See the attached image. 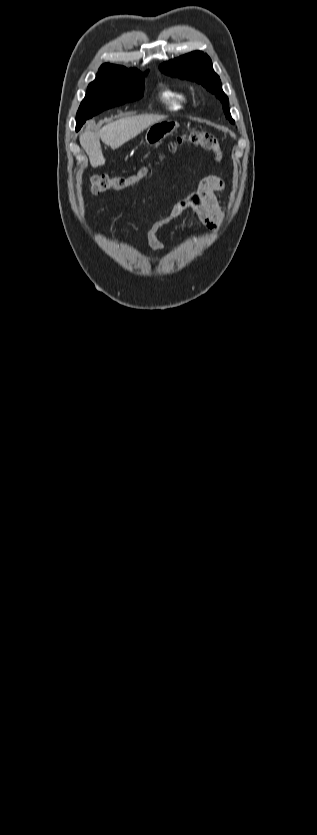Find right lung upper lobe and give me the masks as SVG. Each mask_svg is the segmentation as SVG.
I'll use <instances>...</instances> for the list:
<instances>
[{
  "mask_svg": "<svg viewBox=\"0 0 317 835\" xmlns=\"http://www.w3.org/2000/svg\"><path fill=\"white\" fill-rule=\"evenodd\" d=\"M118 70H128V69H126L125 67L120 66V65L105 63L99 68V72H98L97 76H102V75H105L107 73L118 71ZM128 71H138V69L133 68V69H129Z\"/></svg>",
  "mask_w": 317,
  "mask_h": 835,
  "instance_id": "1",
  "label": "right lung upper lobe"
}]
</instances>
